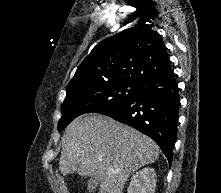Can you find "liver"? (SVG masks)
<instances>
[{"instance_id":"obj_1","label":"liver","mask_w":221,"mask_h":193,"mask_svg":"<svg viewBox=\"0 0 221 193\" xmlns=\"http://www.w3.org/2000/svg\"><path fill=\"white\" fill-rule=\"evenodd\" d=\"M158 157L159 147L148 136L108 116L90 114L67 126L59 169L64 176L72 171L98 178V193H123L128 178Z\"/></svg>"}]
</instances>
